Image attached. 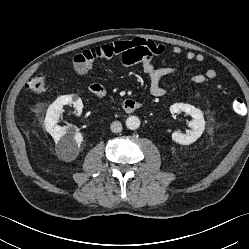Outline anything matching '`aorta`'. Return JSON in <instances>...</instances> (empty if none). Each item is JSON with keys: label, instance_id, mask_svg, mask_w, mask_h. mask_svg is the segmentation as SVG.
Returning <instances> with one entry per match:
<instances>
[{"label": "aorta", "instance_id": "obj_1", "mask_svg": "<svg viewBox=\"0 0 249 249\" xmlns=\"http://www.w3.org/2000/svg\"><path fill=\"white\" fill-rule=\"evenodd\" d=\"M126 127L130 130H136L140 126V119L137 116H129L126 119Z\"/></svg>", "mask_w": 249, "mask_h": 249}]
</instances>
